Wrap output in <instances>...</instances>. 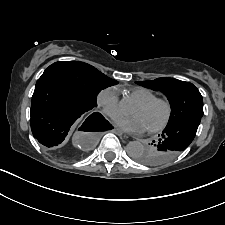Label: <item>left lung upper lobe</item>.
<instances>
[{
	"label": "left lung upper lobe",
	"mask_w": 225,
	"mask_h": 225,
	"mask_svg": "<svg viewBox=\"0 0 225 225\" xmlns=\"http://www.w3.org/2000/svg\"><path fill=\"white\" fill-rule=\"evenodd\" d=\"M136 83L153 90H159L167 96L172 110L167 126L188 117L203 116L202 95L191 83L174 78H157ZM151 145L135 159L140 163L150 165L149 155L156 150L155 143Z\"/></svg>",
	"instance_id": "obj_1"
}]
</instances>
